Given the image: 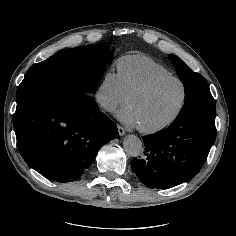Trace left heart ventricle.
<instances>
[{"instance_id": "obj_1", "label": "left heart ventricle", "mask_w": 236, "mask_h": 236, "mask_svg": "<svg viewBox=\"0 0 236 236\" xmlns=\"http://www.w3.org/2000/svg\"><path fill=\"white\" fill-rule=\"evenodd\" d=\"M182 86L176 81H167L146 95L133 99L129 105L136 115L137 124L153 127L170 118L182 99Z\"/></svg>"}]
</instances>
